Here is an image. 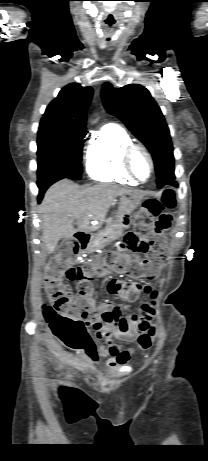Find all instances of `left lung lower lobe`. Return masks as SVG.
Listing matches in <instances>:
<instances>
[{
  "instance_id": "left-lung-lower-lobe-1",
  "label": "left lung lower lobe",
  "mask_w": 208,
  "mask_h": 461,
  "mask_svg": "<svg viewBox=\"0 0 208 461\" xmlns=\"http://www.w3.org/2000/svg\"><path fill=\"white\" fill-rule=\"evenodd\" d=\"M165 184H170V185H173V186H178V184L174 181V178H172L170 181H167ZM164 184V185H165ZM161 188V187H159Z\"/></svg>"
}]
</instances>
